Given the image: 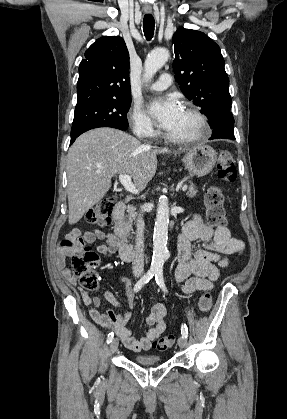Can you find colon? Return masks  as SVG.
<instances>
[{"instance_id":"1","label":"colon","mask_w":287,"mask_h":419,"mask_svg":"<svg viewBox=\"0 0 287 419\" xmlns=\"http://www.w3.org/2000/svg\"><path fill=\"white\" fill-rule=\"evenodd\" d=\"M218 176L226 182H234L237 177L234 158L230 151L223 150L219 153L217 161ZM205 206L207 218L213 226H224L226 214L224 210V195L216 187H210L205 192ZM115 202L111 198L100 201L87 214L86 220L90 224L106 226L112 223ZM61 248L71 257L73 274L79 278L80 285L89 291L97 290L98 281L95 268L99 263L98 254L89 248L80 238L67 236L62 240ZM201 312H208L212 307V296L204 293L198 302ZM174 335L159 337L153 341V348L159 351L168 350L174 344Z\"/></svg>"}]
</instances>
